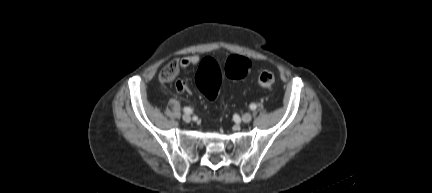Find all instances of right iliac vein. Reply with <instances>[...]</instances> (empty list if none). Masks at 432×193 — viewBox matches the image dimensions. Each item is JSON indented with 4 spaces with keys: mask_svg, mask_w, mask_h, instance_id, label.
<instances>
[{
    "mask_svg": "<svg viewBox=\"0 0 432 193\" xmlns=\"http://www.w3.org/2000/svg\"><path fill=\"white\" fill-rule=\"evenodd\" d=\"M182 118L187 123L191 121V116L189 114H187V113L184 114Z\"/></svg>",
    "mask_w": 432,
    "mask_h": 193,
    "instance_id": "63e3f726",
    "label": "right iliac vein"
}]
</instances>
